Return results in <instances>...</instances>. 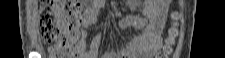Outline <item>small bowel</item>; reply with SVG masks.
I'll return each mask as SVG.
<instances>
[{
  "instance_id": "obj_1",
  "label": "small bowel",
  "mask_w": 225,
  "mask_h": 58,
  "mask_svg": "<svg viewBox=\"0 0 225 58\" xmlns=\"http://www.w3.org/2000/svg\"><path fill=\"white\" fill-rule=\"evenodd\" d=\"M105 4V0H94L84 8L80 40L76 45L78 58H99L100 45L108 30L105 29L98 34L89 47H87V31L99 23V14ZM167 10V0L151 1L144 7L146 17L127 16L121 19L117 24V31L130 25H136L142 29L140 37L129 46H121L116 51H107L103 58H135L137 56L151 57L154 55L161 47L160 34L166 19Z\"/></svg>"
}]
</instances>
